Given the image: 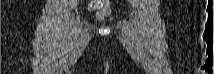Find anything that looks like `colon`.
<instances>
[{
	"label": "colon",
	"instance_id": "colon-1",
	"mask_svg": "<svg viewBox=\"0 0 214 74\" xmlns=\"http://www.w3.org/2000/svg\"><path fill=\"white\" fill-rule=\"evenodd\" d=\"M91 10L96 11V16L99 20H105L110 16L111 9L108 0L92 1L89 4Z\"/></svg>",
	"mask_w": 214,
	"mask_h": 74
}]
</instances>
